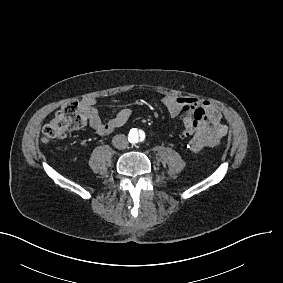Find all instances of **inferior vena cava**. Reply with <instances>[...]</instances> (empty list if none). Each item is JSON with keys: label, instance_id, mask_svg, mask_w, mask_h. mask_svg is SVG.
Returning a JSON list of instances; mask_svg holds the SVG:
<instances>
[{"label": "inferior vena cava", "instance_id": "inferior-vena-cava-1", "mask_svg": "<svg viewBox=\"0 0 283 283\" xmlns=\"http://www.w3.org/2000/svg\"><path fill=\"white\" fill-rule=\"evenodd\" d=\"M113 146L118 150H123L128 147V140L124 134H117L112 139Z\"/></svg>", "mask_w": 283, "mask_h": 283}]
</instances>
